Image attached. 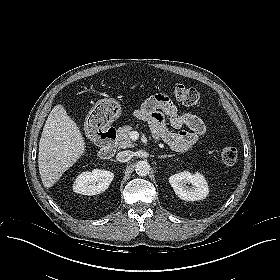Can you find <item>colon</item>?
Listing matches in <instances>:
<instances>
[{"label": "colon", "instance_id": "1", "mask_svg": "<svg viewBox=\"0 0 280 280\" xmlns=\"http://www.w3.org/2000/svg\"><path fill=\"white\" fill-rule=\"evenodd\" d=\"M173 95L184 105L194 106L200 101L199 91L192 86L177 85L173 89ZM221 160L225 165H232L237 160V150L232 146H225L221 150Z\"/></svg>", "mask_w": 280, "mask_h": 280}]
</instances>
